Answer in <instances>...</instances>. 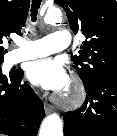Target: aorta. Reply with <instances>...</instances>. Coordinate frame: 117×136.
I'll list each match as a JSON object with an SVG mask.
<instances>
[{"mask_svg":"<svg viewBox=\"0 0 117 136\" xmlns=\"http://www.w3.org/2000/svg\"><path fill=\"white\" fill-rule=\"evenodd\" d=\"M44 20L49 24L60 23L62 21V13L58 8H50ZM39 136H63V122L57 113H53L43 120Z\"/></svg>","mask_w":117,"mask_h":136,"instance_id":"aorta-1","label":"aorta"}]
</instances>
